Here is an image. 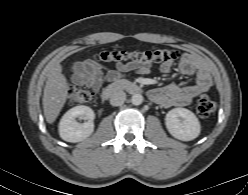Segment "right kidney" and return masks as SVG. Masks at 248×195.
I'll list each match as a JSON object with an SVG mask.
<instances>
[{"label":"right kidney","instance_id":"1","mask_svg":"<svg viewBox=\"0 0 248 195\" xmlns=\"http://www.w3.org/2000/svg\"><path fill=\"white\" fill-rule=\"evenodd\" d=\"M82 117L87 120L85 123H79L76 118ZM94 111L84 105L76 106L68 110L59 123L60 137L67 142H80L88 138L94 131L93 120Z\"/></svg>","mask_w":248,"mask_h":195}]
</instances>
